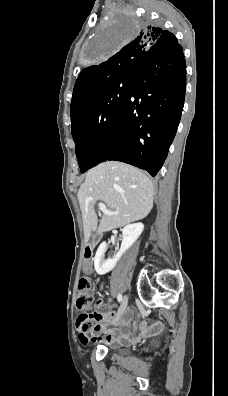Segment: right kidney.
Segmentation results:
<instances>
[{"label": "right kidney", "instance_id": "1", "mask_svg": "<svg viewBox=\"0 0 228 396\" xmlns=\"http://www.w3.org/2000/svg\"><path fill=\"white\" fill-rule=\"evenodd\" d=\"M144 225L142 223H134L125 226L122 230V244L119 252L111 259H105V252L107 250V243L102 242L97 249L94 258V267L99 275H104L111 271L122 257V255L134 244V242L139 238Z\"/></svg>", "mask_w": 228, "mask_h": 396}]
</instances>
